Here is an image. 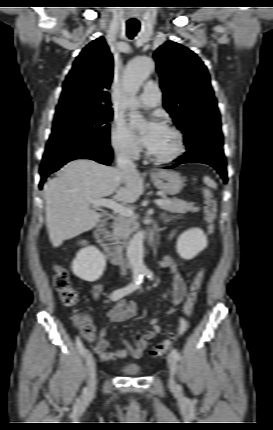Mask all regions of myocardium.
Returning a JSON list of instances; mask_svg holds the SVG:
<instances>
[{
  "label": "myocardium",
  "mask_w": 273,
  "mask_h": 430,
  "mask_svg": "<svg viewBox=\"0 0 273 430\" xmlns=\"http://www.w3.org/2000/svg\"><path fill=\"white\" fill-rule=\"evenodd\" d=\"M164 128L174 135L176 145L173 153L168 156H156L149 151L148 156L150 160L157 164H167L174 162L180 158L185 151V139L183 133L177 127L172 125H166Z\"/></svg>",
  "instance_id": "1"
}]
</instances>
